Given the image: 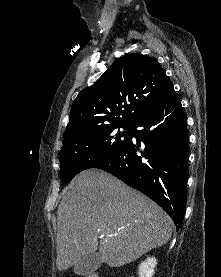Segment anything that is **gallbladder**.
<instances>
[{"label": "gallbladder", "mask_w": 221, "mask_h": 277, "mask_svg": "<svg viewBox=\"0 0 221 277\" xmlns=\"http://www.w3.org/2000/svg\"><path fill=\"white\" fill-rule=\"evenodd\" d=\"M102 264L98 253L93 252L82 257L75 265L74 272L78 275H87L96 271Z\"/></svg>", "instance_id": "bac80fb5"}]
</instances>
